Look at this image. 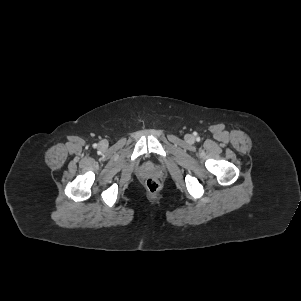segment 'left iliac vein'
Masks as SVG:
<instances>
[{
	"instance_id": "4c4485c4",
	"label": "left iliac vein",
	"mask_w": 301,
	"mask_h": 301,
	"mask_svg": "<svg viewBox=\"0 0 301 301\" xmlns=\"http://www.w3.org/2000/svg\"><path fill=\"white\" fill-rule=\"evenodd\" d=\"M187 139H188L189 141H191V140H193V137H192L191 135H188V136H187Z\"/></svg>"
}]
</instances>
